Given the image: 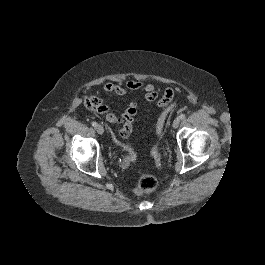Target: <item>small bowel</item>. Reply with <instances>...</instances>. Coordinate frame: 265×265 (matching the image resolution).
Segmentation results:
<instances>
[{
	"mask_svg": "<svg viewBox=\"0 0 265 265\" xmlns=\"http://www.w3.org/2000/svg\"><path fill=\"white\" fill-rule=\"evenodd\" d=\"M101 90L119 96L126 95L129 91L141 92L144 95V98L150 102L155 101L158 97L156 88L152 84H146L133 79L127 80L124 85L110 82L105 83L102 85ZM84 104L91 111L104 114L107 122L122 125V127H128L129 130L132 131V126L138 112V106L135 102H131L120 115H116L111 107L96 94L85 96ZM157 105L159 107L166 106L163 97L157 101Z\"/></svg>",
	"mask_w": 265,
	"mask_h": 265,
	"instance_id": "c3829d8e",
	"label": "small bowel"
}]
</instances>
